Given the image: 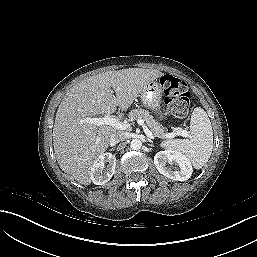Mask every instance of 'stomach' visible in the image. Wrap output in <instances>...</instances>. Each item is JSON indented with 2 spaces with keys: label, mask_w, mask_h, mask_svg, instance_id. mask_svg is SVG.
Returning <instances> with one entry per match:
<instances>
[{
  "label": "stomach",
  "mask_w": 257,
  "mask_h": 257,
  "mask_svg": "<svg viewBox=\"0 0 257 257\" xmlns=\"http://www.w3.org/2000/svg\"><path fill=\"white\" fill-rule=\"evenodd\" d=\"M162 87L157 81L147 83L139 94L144 107L161 114Z\"/></svg>",
  "instance_id": "stomach-1"
}]
</instances>
